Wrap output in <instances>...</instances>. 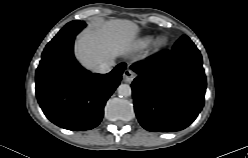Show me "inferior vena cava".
I'll return each mask as SVG.
<instances>
[{
  "instance_id": "obj_1",
  "label": "inferior vena cava",
  "mask_w": 248,
  "mask_h": 158,
  "mask_svg": "<svg viewBox=\"0 0 248 158\" xmlns=\"http://www.w3.org/2000/svg\"><path fill=\"white\" fill-rule=\"evenodd\" d=\"M114 66H115L114 60L103 62L97 66L96 72L101 74L109 73Z\"/></svg>"
}]
</instances>
